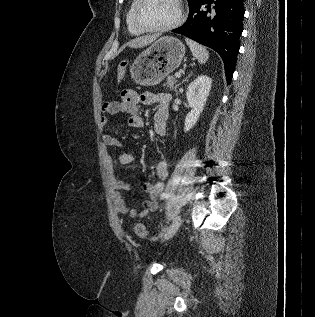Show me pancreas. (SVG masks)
I'll use <instances>...</instances> for the list:
<instances>
[{"label":"pancreas","mask_w":315,"mask_h":317,"mask_svg":"<svg viewBox=\"0 0 315 317\" xmlns=\"http://www.w3.org/2000/svg\"><path fill=\"white\" fill-rule=\"evenodd\" d=\"M175 83L176 79L173 76H168L164 87H166L167 90L171 91L174 89Z\"/></svg>","instance_id":"1"}]
</instances>
